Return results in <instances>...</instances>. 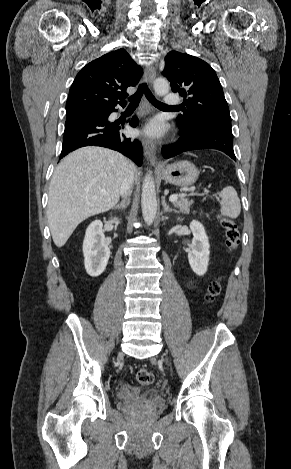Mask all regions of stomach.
<instances>
[{"label": "stomach", "mask_w": 291, "mask_h": 469, "mask_svg": "<svg viewBox=\"0 0 291 469\" xmlns=\"http://www.w3.org/2000/svg\"><path fill=\"white\" fill-rule=\"evenodd\" d=\"M160 176L167 182L176 186H190L196 182L199 171L196 166L187 160L166 165L159 170Z\"/></svg>", "instance_id": "1"}]
</instances>
